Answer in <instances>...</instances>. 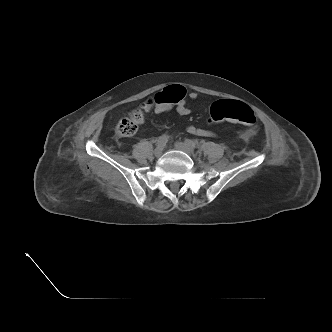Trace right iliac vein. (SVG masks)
Here are the masks:
<instances>
[{
    "instance_id": "right-iliac-vein-1",
    "label": "right iliac vein",
    "mask_w": 332,
    "mask_h": 332,
    "mask_svg": "<svg viewBox=\"0 0 332 332\" xmlns=\"http://www.w3.org/2000/svg\"><path fill=\"white\" fill-rule=\"evenodd\" d=\"M164 152V146L160 145V146H157L156 149L154 150V155L156 157H160Z\"/></svg>"
}]
</instances>
